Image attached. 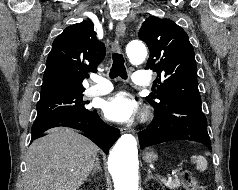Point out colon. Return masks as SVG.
I'll return each mask as SVG.
<instances>
[{"instance_id":"5ec220e1","label":"colon","mask_w":238,"mask_h":190,"mask_svg":"<svg viewBox=\"0 0 238 190\" xmlns=\"http://www.w3.org/2000/svg\"><path fill=\"white\" fill-rule=\"evenodd\" d=\"M180 181L186 190H205V187L189 171L181 172Z\"/></svg>"}]
</instances>
